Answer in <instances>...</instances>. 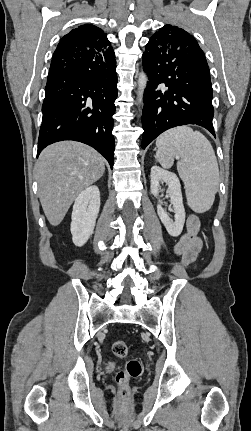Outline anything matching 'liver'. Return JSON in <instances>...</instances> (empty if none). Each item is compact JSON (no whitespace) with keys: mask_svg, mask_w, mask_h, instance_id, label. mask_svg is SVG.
Here are the masks:
<instances>
[{"mask_svg":"<svg viewBox=\"0 0 251 431\" xmlns=\"http://www.w3.org/2000/svg\"><path fill=\"white\" fill-rule=\"evenodd\" d=\"M104 172V158L88 145L63 141L45 148L36 173L40 202L49 223L59 225L78 195Z\"/></svg>","mask_w":251,"mask_h":431,"instance_id":"1","label":"liver"}]
</instances>
